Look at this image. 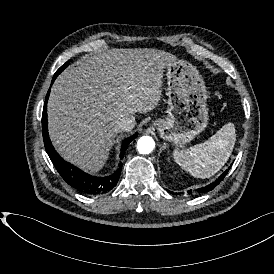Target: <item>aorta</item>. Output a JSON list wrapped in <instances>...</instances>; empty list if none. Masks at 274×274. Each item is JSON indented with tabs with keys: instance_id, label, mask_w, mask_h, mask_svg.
Wrapping results in <instances>:
<instances>
[{
	"instance_id": "762f6f07",
	"label": "aorta",
	"mask_w": 274,
	"mask_h": 274,
	"mask_svg": "<svg viewBox=\"0 0 274 274\" xmlns=\"http://www.w3.org/2000/svg\"><path fill=\"white\" fill-rule=\"evenodd\" d=\"M155 148V142L150 136H142L137 141V150L140 154H149Z\"/></svg>"
}]
</instances>
